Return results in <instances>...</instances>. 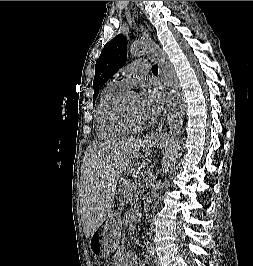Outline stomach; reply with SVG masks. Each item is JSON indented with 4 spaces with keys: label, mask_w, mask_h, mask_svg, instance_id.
<instances>
[{
    "label": "stomach",
    "mask_w": 253,
    "mask_h": 266,
    "mask_svg": "<svg viewBox=\"0 0 253 266\" xmlns=\"http://www.w3.org/2000/svg\"><path fill=\"white\" fill-rule=\"evenodd\" d=\"M156 142L144 143L140 149V156L147 157ZM121 237V218L118 212L110 211L106 219L90 237L89 247L98 258L109 257L117 248Z\"/></svg>",
    "instance_id": "stomach-1"
}]
</instances>
